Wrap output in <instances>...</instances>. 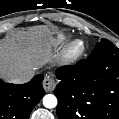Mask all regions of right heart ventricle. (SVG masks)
<instances>
[{
    "mask_svg": "<svg viewBox=\"0 0 119 119\" xmlns=\"http://www.w3.org/2000/svg\"><path fill=\"white\" fill-rule=\"evenodd\" d=\"M65 39H66L65 36L61 35L58 37L57 42L60 44V43L64 42Z\"/></svg>",
    "mask_w": 119,
    "mask_h": 119,
    "instance_id": "e07e8e85",
    "label": "right heart ventricle"
}]
</instances>
